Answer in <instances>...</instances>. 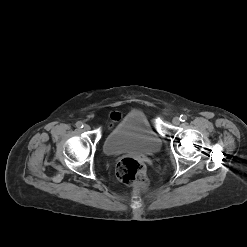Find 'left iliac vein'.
<instances>
[{
    "instance_id": "left-iliac-vein-1",
    "label": "left iliac vein",
    "mask_w": 247,
    "mask_h": 247,
    "mask_svg": "<svg viewBox=\"0 0 247 247\" xmlns=\"http://www.w3.org/2000/svg\"><path fill=\"white\" fill-rule=\"evenodd\" d=\"M172 123L174 125H179L180 124V119L178 117H174L173 120H172Z\"/></svg>"
}]
</instances>
